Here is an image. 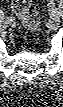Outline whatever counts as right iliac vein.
I'll use <instances>...</instances> for the list:
<instances>
[{
    "label": "right iliac vein",
    "mask_w": 63,
    "mask_h": 107,
    "mask_svg": "<svg viewBox=\"0 0 63 107\" xmlns=\"http://www.w3.org/2000/svg\"><path fill=\"white\" fill-rule=\"evenodd\" d=\"M5 22H6L7 24H13V23H14V20H13L12 17H7L6 20H5Z\"/></svg>",
    "instance_id": "1"
}]
</instances>
